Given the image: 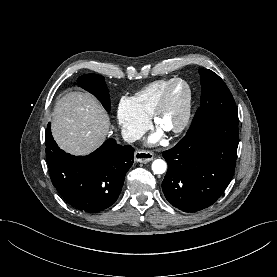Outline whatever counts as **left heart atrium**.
Wrapping results in <instances>:
<instances>
[{
	"label": "left heart atrium",
	"instance_id": "1",
	"mask_svg": "<svg viewBox=\"0 0 277 277\" xmlns=\"http://www.w3.org/2000/svg\"><path fill=\"white\" fill-rule=\"evenodd\" d=\"M162 132L161 130L156 134V135H153L150 139H149V142L150 143H155L159 140L160 136H161Z\"/></svg>",
	"mask_w": 277,
	"mask_h": 277
}]
</instances>
